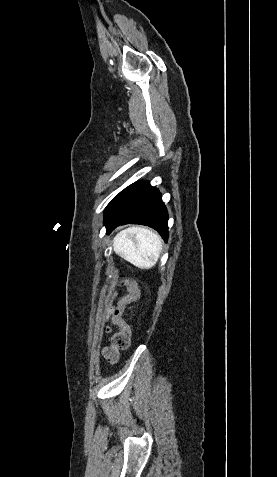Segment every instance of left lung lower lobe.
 <instances>
[{
  "label": "left lung lower lobe",
  "instance_id": "1",
  "mask_svg": "<svg viewBox=\"0 0 277 477\" xmlns=\"http://www.w3.org/2000/svg\"><path fill=\"white\" fill-rule=\"evenodd\" d=\"M106 233L124 224H142L154 228L168 240V213L160 192L147 181L131 184L117 194L104 212Z\"/></svg>",
  "mask_w": 277,
  "mask_h": 477
}]
</instances>
